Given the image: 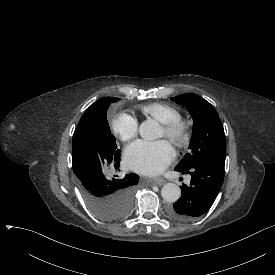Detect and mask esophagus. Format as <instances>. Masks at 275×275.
<instances>
[{"label":"esophagus","instance_id":"34e87169","mask_svg":"<svg viewBox=\"0 0 275 275\" xmlns=\"http://www.w3.org/2000/svg\"><path fill=\"white\" fill-rule=\"evenodd\" d=\"M153 183L155 185H162L164 183V179L161 178V177H157V178L154 179Z\"/></svg>","mask_w":275,"mask_h":275}]
</instances>
